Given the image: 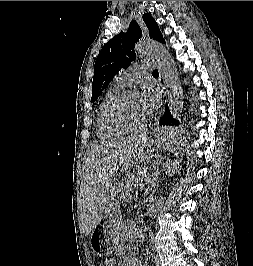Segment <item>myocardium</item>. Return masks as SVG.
I'll use <instances>...</instances> for the list:
<instances>
[{
  "label": "myocardium",
  "instance_id": "1",
  "mask_svg": "<svg viewBox=\"0 0 253 266\" xmlns=\"http://www.w3.org/2000/svg\"><path fill=\"white\" fill-rule=\"evenodd\" d=\"M136 94H139V93L133 89L123 90L110 101V103L108 104L106 108L105 116H104L105 123L108 128L123 134V133H131L134 131H138L141 127H143L146 124V120H144L138 125L127 126L121 123L115 116V112L119 104L128 96L136 95Z\"/></svg>",
  "mask_w": 253,
  "mask_h": 266
}]
</instances>
